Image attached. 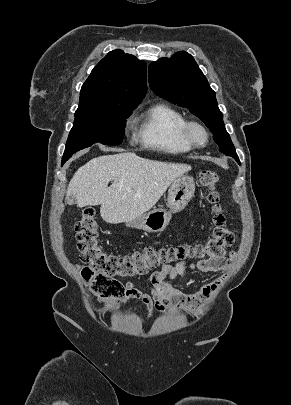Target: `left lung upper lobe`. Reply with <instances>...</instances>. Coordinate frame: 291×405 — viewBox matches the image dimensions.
Here are the masks:
<instances>
[{"label":"left lung upper lobe","mask_w":291,"mask_h":405,"mask_svg":"<svg viewBox=\"0 0 291 405\" xmlns=\"http://www.w3.org/2000/svg\"><path fill=\"white\" fill-rule=\"evenodd\" d=\"M149 85L160 97L188 108L213 133L222 153L239 162L236 150L223 123L215 92L193 57L181 51L170 58L152 62L148 68Z\"/></svg>","instance_id":"obj_1"}]
</instances>
